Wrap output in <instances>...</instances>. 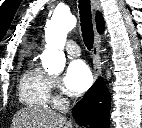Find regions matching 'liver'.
<instances>
[{
	"label": "liver",
	"instance_id": "obj_1",
	"mask_svg": "<svg viewBox=\"0 0 142 128\" xmlns=\"http://www.w3.org/2000/svg\"><path fill=\"white\" fill-rule=\"evenodd\" d=\"M12 128H73L67 118L51 109L26 107L15 114Z\"/></svg>",
	"mask_w": 142,
	"mask_h": 128
}]
</instances>
